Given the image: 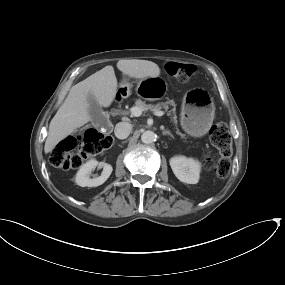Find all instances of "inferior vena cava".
Segmentation results:
<instances>
[{
    "instance_id": "inferior-vena-cava-1",
    "label": "inferior vena cava",
    "mask_w": 285,
    "mask_h": 285,
    "mask_svg": "<svg viewBox=\"0 0 285 285\" xmlns=\"http://www.w3.org/2000/svg\"><path fill=\"white\" fill-rule=\"evenodd\" d=\"M132 125L128 122H119L115 126L114 134L118 139H125L129 136Z\"/></svg>"
}]
</instances>
